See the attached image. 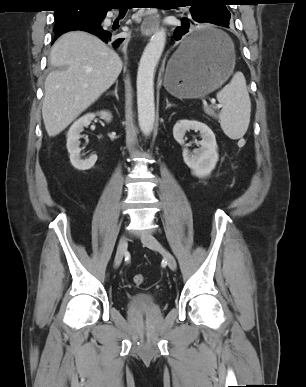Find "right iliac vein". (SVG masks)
Wrapping results in <instances>:
<instances>
[{"label": "right iliac vein", "mask_w": 306, "mask_h": 387, "mask_svg": "<svg viewBox=\"0 0 306 387\" xmlns=\"http://www.w3.org/2000/svg\"><path fill=\"white\" fill-rule=\"evenodd\" d=\"M126 250H127V239L125 235H122L118 242L117 251H116L115 260H114V266L116 268L120 266L123 260V257L126 253Z\"/></svg>", "instance_id": "right-iliac-vein-1"}]
</instances>
